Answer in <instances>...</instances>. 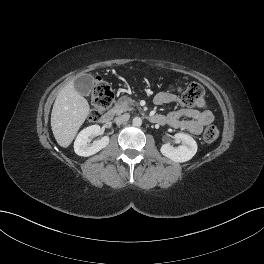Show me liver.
Wrapping results in <instances>:
<instances>
[{"instance_id": "obj_1", "label": "liver", "mask_w": 264, "mask_h": 264, "mask_svg": "<svg viewBox=\"0 0 264 264\" xmlns=\"http://www.w3.org/2000/svg\"><path fill=\"white\" fill-rule=\"evenodd\" d=\"M90 111L88 101L75 89L70 81L59 92L51 113V128L57 143L67 148Z\"/></svg>"}]
</instances>
